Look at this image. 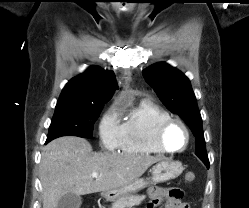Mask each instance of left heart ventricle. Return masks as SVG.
<instances>
[{"label": "left heart ventricle", "instance_id": "b2bd125f", "mask_svg": "<svg viewBox=\"0 0 249 208\" xmlns=\"http://www.w3.org/2000/svg\"><path fill=\"white\" fill-rule=\"evenodd\" d=\"M164 142L171 149H180L186 142V134L181 126L174 124L165 132Z\"/></svg>", "mask_w": 249, "mask_h": 208}]
</instances>
